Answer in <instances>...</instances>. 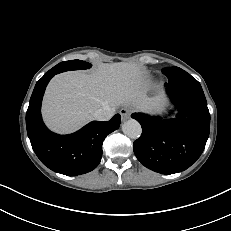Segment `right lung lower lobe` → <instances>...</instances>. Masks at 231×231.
<instances>
[{
	"mask_svg": "<svg viewBox=\"0 0 231 231\" xmlns=\"http://www.w3.org/2000/svg\"><path fill=\"white\" fill-rule=\"evenodd\" d=\"M58 71H48L37 83L26 113V127L32 148L49 169L67 175H81L95 169L101 161L105 137L120 126L116 114L110 121H93L70 135H58L44 125L41 101L50 79Z\"/></svg>",
	"mask_w": 231,
	"mask_h": 231,
	"instance_id": "98d812e1",
	"label": "right lung lower lobe"
}]
</instances>
